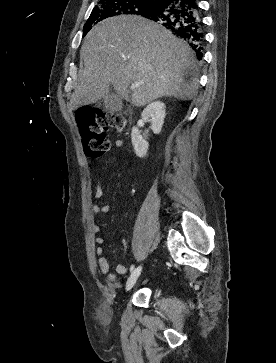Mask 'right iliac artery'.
Segmentation results:
<instances>
[{
  "mask_svg": "<svg viewBox=\"0 0 276 363\" xmlns=\"http://www.w3.org/2000/svg\"><path fill=\"white\" fill-rule=\"evenodd\" d=\"M133 269H134V266H131V268H130L131 273L133 272Z\"/></svg>",
  "mask_w": 276,
  "mask_h": 363,
  "instance_id": "82829eb1",
  "label": "right iliac artery"
}]
</instances>
